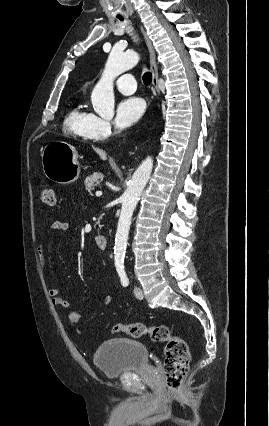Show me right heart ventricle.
<instances>
[{
    "mask_svg": "<svg viewBox=\"0 0 269 426\" xmlns=\"http://www.w3.org/2000/svg\"><path fill=\"white\" fill-rule=\"evenodd\" d=\"M95 115L90 112L85 105H76L67 115L65 127L70 132L91 140L93 136V123Z\"/></svg>",
    "mask_w": 269,
    "mask_h": 426,
    "instance_id": "right-heart-ventricle-1",
    "label": "right heart ventricle"
}]
</instances>
